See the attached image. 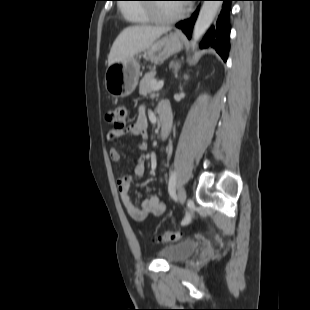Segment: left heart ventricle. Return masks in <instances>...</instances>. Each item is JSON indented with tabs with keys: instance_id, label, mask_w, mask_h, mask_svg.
Returning <instances> with one entry per match:
<instances>
[{
	"instance_id": "obj_1",
	"label": "left heart ventricle",
	"mask_w": 310,
	"mask_h": 310,
	"mask_svg": "<svg viewBox=\"0 0 310 310\" xmlns=\"http://www.w3.org/2000/svg\"><path fill=\"white\" fill-rule=\"evenodd\" d=\"M182 8L177 4H161L158 10L161 14H173L180 11Z\"/></svg>"
}]
</instances>
